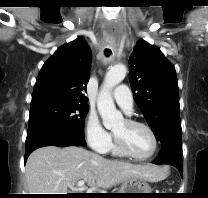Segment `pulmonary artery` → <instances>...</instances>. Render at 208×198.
<instances>
[{
  "mask_svg": "<svg viewBox=\"0 0 208 198\" xmlns=\"http://www.w3.org/2000/svg\"><path fill=\"white\" fill-rule=\"evenodd\" d=\"M115 102L127 113L133 111V96L126 85H119L112 93Z\"/></svg>",
  "mask_w": 208,
  "mask_h": 198,
  "instance_id": "pulmonary-artery-1",
  "label": "pulmonary artery"
}]
</instances>
